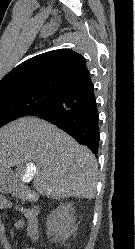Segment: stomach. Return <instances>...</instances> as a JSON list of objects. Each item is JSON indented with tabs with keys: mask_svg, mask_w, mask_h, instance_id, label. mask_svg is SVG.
Masks as SVG:
<instances>
[{
	"mask_svg": "<svg viewBox=\"0 0 135 249\" xmlns=\"http://www.w3.org/2000/svg\"><path fill=\"white\" fill-rule=\"evenodd\" d=\"M9 181V171L6 169H0V183Z\"/></svg>",
	"mask_w": 135,
	"mask_h": 249,
	"instance_id": "0dacf381",
	"label": "stomach"
}]
</instances>
